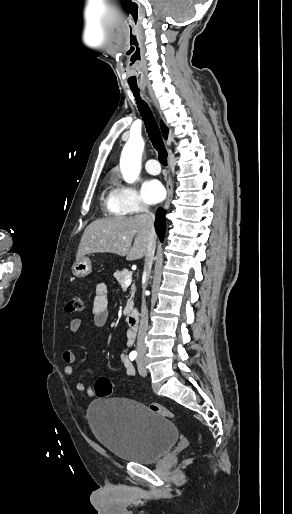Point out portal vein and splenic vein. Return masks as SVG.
I'll return each instance as SVG.
<instances>
[{
  "label": "portal vein and splenic vein",
  "instance_id": "portal-vein-and-splenic-vein-1",
  "mask_svg": "<svg viewBox=\"0 0 292 514\" xmlns=\"http://www.w3.org/2000/svg\"><path fill=\"white\" fill-rule=\"evenodd\" d=\"M131 282H132V274H129V276H126L124 284H125V286H130Z\"/></svg>",
  "mask_w": 292,
  "mask_h": 514
}]
</instances>
